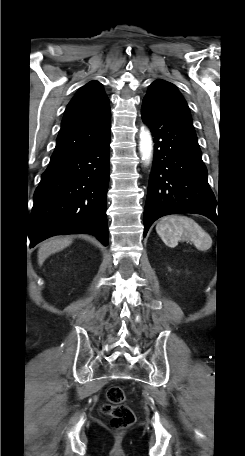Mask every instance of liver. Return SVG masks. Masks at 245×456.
<instances>
[{"instance_id":"obj_1","label":"liver","mask_w":245,"mask_h":456,"mask_svg":"<svg viewBox=\"0 0 245 456\" xmlns=\"http://www.w3.org/2000/svg\"><path fill=\"white\" fill-rule=\"evenodd\" d=\"M72 243L71 237L54 238L41 244L38 250V264L41 266L44 261L56 252H59Z\"/></svg>"}]
</instances>
